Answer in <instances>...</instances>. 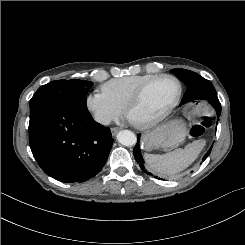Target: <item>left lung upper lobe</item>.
Here are the masks:
<instances>
[{"label": "left lung upper lobe", "instance_id": "5c2ea615", "mask_svg": "<svg viewBox=\"0 0 245 245\" xmlns=\"http://www.w3.org/2000/svg\"><path fill=\"white\" fill-rule=\"evenodd\" d=\"M171 72L181 79L187 86L180 106L199 99L218 98L212 83L195 72L186 69H172Z\"/></svg>", "mask_w": 245, "mask_h": 245}]
</instances>
